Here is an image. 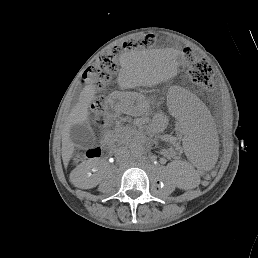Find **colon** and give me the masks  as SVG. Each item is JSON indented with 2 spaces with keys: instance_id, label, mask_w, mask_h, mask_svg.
<instances>
[{
  "instance_id": "obj_1",
  "label": "colon",
  "mask_w": 258,
  "mask_h": 258,
  "mask_svg": "<svg viewBox=\"0 0 258 258\" xmlns=\"http://www.w3.org/2000/svg\"><path fill=\"white\" fill-rule=\"evenodd\" d=\"M158 36L155 34H146L137 39H129L122 45H117L111 48L108 52L102 54L84 74L85 82L95 86L97 89H103L111 79L112 74L117 68V59L125 50H137L142 48H150L157 44ZM184 60L191 63L189 74L191 79L205 87L210 86L212 78V69L209 63L205 60H194L191 52L187 49L184 52ZM103 102L97 98L92 103L94 114L102 119Z\"/></svg>"
}]
</instances>
